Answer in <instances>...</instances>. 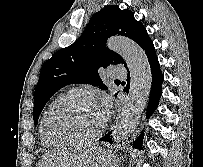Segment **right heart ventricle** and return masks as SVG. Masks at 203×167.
I'll return each mask as SVG.
<instances>
[{
    "mask_svg": "<svg viewBox=\"0 0 203 167\" xmlns=\"http://www.w3.org/2000/svg\"><path fill=\"white\" fill-rule=\"evenodd\" d=\"M71 93L73 92H62L60 94H58L54 99L51 100V102L49 103V105L47 106L41 122H40V126H39V137L41 140V143L45 146V147H58V146H62L63 143L56 141L52 138H50L44 129V121L46 116L49 114V112L56 107L62 100H64L66 97H68Z\"/></svg>",
    "mask_w": 203,
    "mask_h": 167,
    "instance_id": "obj_1",
    "label": "right heart ventricle"
}]
</instances>
